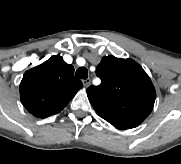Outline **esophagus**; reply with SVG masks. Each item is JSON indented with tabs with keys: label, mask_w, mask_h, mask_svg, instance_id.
<instances>
[{
	"label": "esophagus",
	"mask_w": 181,
	"mask_h": 164,
	"mask_svg": "<svg viewBox=\"0 0 181 164\" xmlns=\"http://www.w3.org/2000/svg\"><path fill=\"white\" fill-rule=\"evenodd\" d=\"M90 83H91V80L89 78L83 80V85L85 88H87L90 85Z\"/></svg>",
	"instance_id": "1"
}]
</instances>
